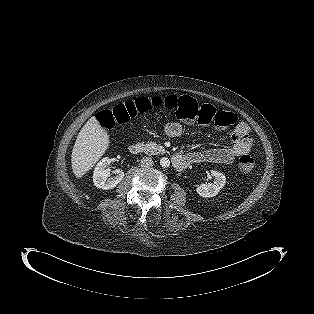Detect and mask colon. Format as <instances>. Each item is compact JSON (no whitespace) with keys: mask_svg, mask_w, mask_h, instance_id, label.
Listing matches in <instances>:
<instances>
[{"mask_svg":"<svg viewBox=\"0 0 314 314\" xmlns=\"http://www.w3.org/2000/svg\"><path fill=\"white\" fill-rule=\"evenodd\" d=\"M164 106L175 112L176 117L186 123L197 122L212 124L216 128L225 130L236 123L235 116L223 110H217L211 105L199 104L194 98L186 95H169L163 97H139L125 101L113 109L102 110L96 115L97 123L104 129L111 130L119 125L130 123L140 114H145L152 108ZM255 160L251 155L239 157L238 167L242 172L253 169Z\"/></svg>","mask_w":314,"mask_h":314,"instance_id":"1","label":"colon"}]
</instances>
